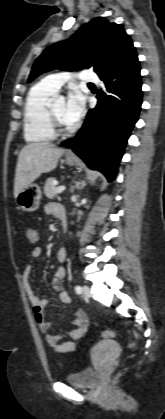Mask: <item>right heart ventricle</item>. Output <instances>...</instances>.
Instances as JSON below:
<instances>
[{"label": "right heart ventricle", "mask_w": 165, "mask_h": 419, "mask_svg": "<svg viewBox=\"0 0 165 419\" xmlns=\"http://www.w3.org/2000/svg\"><path fill=\"white\" fill-rule=\"evenodd\" d=\"M54 93L42 82L30 89L23 112V131L28 142L44 143L56 138L48 118L49 100Z\"/></svg>", "instance_id": "1"}]
</instances>
